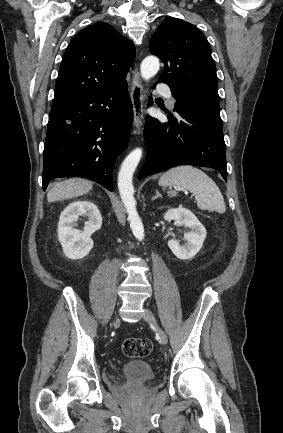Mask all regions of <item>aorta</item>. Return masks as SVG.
<instances>
[{
    "mask_svg": "<svg viewBox=\"0 0 283 433\" xmlns=\"http://www.w3.org/2000/svg\"><path fill=\"white\" fill-rule=\"evenodd\" d=\"M159 59L155 56H147L141 63V76L144 80L154 77L159 71ZM142 157V149L136 148L124 159L118 174V190L121 200L128 214V220L133 235L138 240L144 239V227L136 209L134 198L133 174Z\"/></svg>",
    "mask_w": 283,
    "mask_h": 433,
    "instance_id": "obj_1",
    "label": "aorta"
}]
</instances>
